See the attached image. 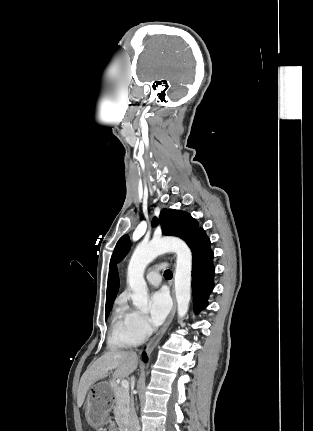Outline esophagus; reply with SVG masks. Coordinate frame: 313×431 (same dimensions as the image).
<instances>
[{"mask_svg": "<svg viewBox=\"0 0 313 431\" xmlns=\"http://www.w3.org/2000/svg\"><path fill=\"white\" fill-rule=\"evenodd\" d=\"M172 297H173L172 310H171L167 320L165 321L164 325L162 326V328L156 333V335L148 343L147 351H152L155 348V346L158 344V342L160 341V339L162 338V336L164 335V333L166 332L167 328L169 327L170 323L173 320V317H174L175 312H176V299H175V294H174L173 288H172Z\"/></svg>", "mask_w": 313, "mask_h": 431, "instance_id": "1", "label": "esophagus"}]
</instances>
